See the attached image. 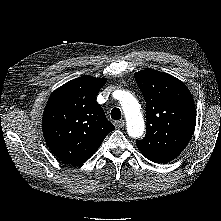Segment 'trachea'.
Instances as JSON below:
<instances>
[{"label":"trachea","instance_id":"1","mask_svg":"<svg viewBox=\"0 0 221 221\" xmlns=\"http://www.w3.org/2000/svg\"><path fill=\"white\" fill-rule=\"evenodd\" d=\"M111 118L114 120H119L121 119V111L119 108H113L111 110Z\"/></svg>","mask_w":221,"mask_h":221}]
</instances>
